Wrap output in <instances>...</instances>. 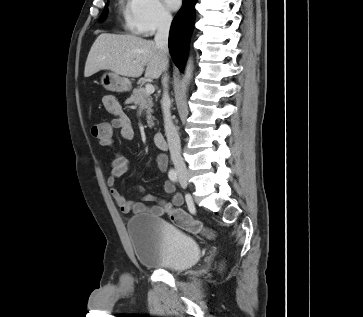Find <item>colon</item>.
Wrapping results in <instances>:
<instances>
[{
	"label": "colon",
	"mask_w": 363,
	"mask_h": 317,
	"mask_svg": "<svg viewBox=\"0 0 363 317\" xmlns=\"http://www.w3.org/2000/svg\"><path fill=\"white\" fill-rule=\"evenodd\" d=\"M104 123L93 124L91 132L94 136L99 135L100 127ZM170 220L179 228L186 230L193 234H204L207 237H211V232L205 228V226L199 221L191 217L186 212L171 208L168 212Z\"/></svg>",
	"instance_id": "obj_1"
}]
</instances>
